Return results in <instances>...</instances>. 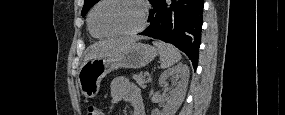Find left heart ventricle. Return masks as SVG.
Instances as JSON below:
<instances>
[{"label":"left heart ventricle","mask_w":285,"mask_h":115,"mask_svg":"<svg viewBox=\"0 0 285 115\" xmlns=\"http://www.w3.org/2000/svg\"><path fill=\"white\" fill-rule=\"evenodd\" d=\"M141 22L139 7L129 1L112 0L102 4L94 13L97 30L124 32L136 29Z\"/></svg>","instance_id":"obj_1"}]
</instances>
